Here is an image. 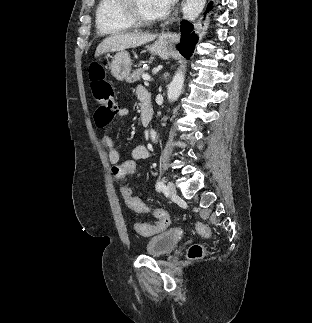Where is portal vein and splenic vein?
Masks as SVG:
<instances>
[{"mask_svg":"<svg viewBox=\"0 0 312 323\" xmlns=\"http://www.w3.org/2000/svg\"><path fill=\"white\" fill-rule=\"evenodd\" d=\"M143 80H145V82H150L151 78L150 76H148V74H143L142 76Z\"/></svg>","mask_w":312,"mask_h":323,"instance_id":"18ae733b","label":"portal vein and splenic vein"}]
</instances>
